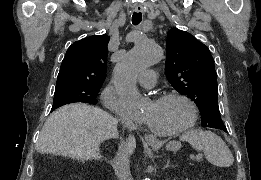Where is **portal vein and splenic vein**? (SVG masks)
<instances>
[{"label":"portal vein and splenic vein","mask_w":261,"mask_h":180,"mask_svg":"<svg viewBox=\"0 0 261 180\" xmlns=\"http://www.w3.org/2000/svg\"><path fill=\"white\" fill-rule=\"evenodd\" d=\"M191 158H193V161H198L204 158V153H199V155H196V153H191Z\"/></svg>","instance_id":"portal-vein-and-splenic-vein-1"}]
</instances>
